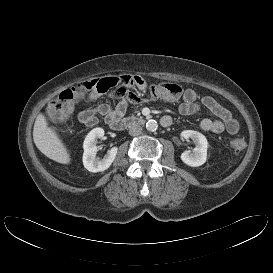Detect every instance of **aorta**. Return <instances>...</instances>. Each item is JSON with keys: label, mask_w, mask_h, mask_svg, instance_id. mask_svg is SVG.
<instances>
[{"label": "aorta", "mask_w": 273, "mask_h": 273, "mask_svg": "<svg viewBox=\"0 0 273 273\" xmlns=\"http://www.w3.org/2000/svg\"><path fill=\"white\" fill-rule=\"evenodd\" d=\"M158 128L156 120H148L146 123V129L148 131H155Z\"/></svg>", "instance_id": "obj_1"}]
</instances>
